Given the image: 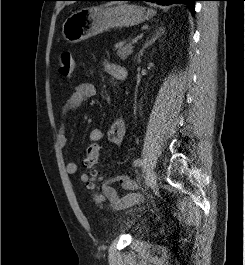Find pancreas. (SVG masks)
Returning a JSON list of instances; mask_svg holds the SVG:
<instances>
[{
    "mask_svg": "<svg viewBox=\"0 0 245 265\" xmlns=\"http://www.w3.org/2000/svg\"><path fill=\"white\" fill-rule=\"evenodd\" d=\"M117 55L120 57L121 60H125L128 58L129 55L133 52V46L131 44H126L124 46H120L116 48Z\"/></svg>",
    "mask_w": 245,
    "mask_h": 265,
    "instance_id": "cf45deb5",
    "label": "pancreas"
}]
</instances>
